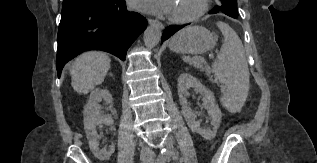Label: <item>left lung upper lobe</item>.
<instances>
[{
    "label": "left lung upper lobe",
    "mask_w": 317,
    "mask_h": 163,
    "mask_svg": "<svg viewBox=\"0 0 317 163\" xmlns=\"http://www.w3.org/2000/svg\"><path fill=\"white\" fill-rule=\"evenodd\" d=\"M222 2L221 6H216L210 13L214 14L218 11H222L228 16L236 17L238 16L237 12V0H220Z\"/></svg>",
    "instance_id": "1"
}]
</instances>
